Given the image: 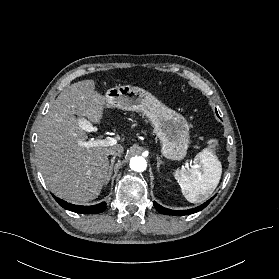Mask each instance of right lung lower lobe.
Returning <instances> with one entry per match:
<instances>
[{
	"label": "right lung lower lobe",
	"mask_w": 279,
	"mask_h": 279,
	"mask_svg": "<svg viewBox=\"0 0 279 279\" xmlns=\"http://www.w3.org/2000/svg\"><path fill=\"white\" fill-rule=\"evenodd\" d=\"M53 197L60 206H62L65 209H68L70 211L77 212V213L95 214V213H100L107 208L105 202H102V203H99V204L93 205V206H78V205H73V204L67 203L66 201H63L62 199H59L55 196H53Z\"/></svg>",
	"instance_id": "98d812e1"
}]
</instances>
